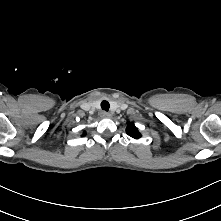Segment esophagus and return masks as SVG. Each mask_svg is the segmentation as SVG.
Wrapping results in <instances>:
<instances>
[{"mask_svg":"<svg viewBox=\"0 0 221 221\" xmlns=\"http://www.w3.org/2000/svg\"><path fill=\"white\" fill-rule=\"evenodd\" d=\"M101 116L104 117V118H108V117H110L111 115H110V113H108V112H106V111H103V112L101 113Z\"/></svg>","mask_w":221,"mask_h":221,"instance_id":"1","label":"esophagus"}]
</instances>
